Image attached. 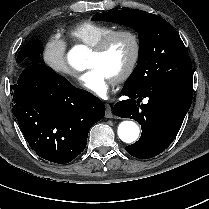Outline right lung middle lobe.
Returning <instances> with one entry per match:
<instances>
[{
  "label": "right lung middle lobe",
  "mask_w": 209,
  "mask_h": 209,
  "mask_svg": "<svg viewBox=\"0 0 209 209\" xmlns=\"http://www.w3.org/2000/svg\"><path fill=\"white\" fill-rule=\"evenodd\" d=\"M43 52L42 43L34 40L33 44L27 43L19 51L16 61L18 63L22 62L25 58H28L30 61L37 62L40 60V54Z\"/></svg>",
  "instance_id": "right-lung-middle-lobe-1"
}]
</instances>
